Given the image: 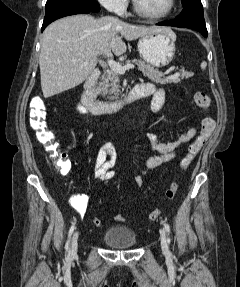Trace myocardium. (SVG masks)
Segmentation results:
<instances>
[{"label": "myocardium", "mask_w": 240, "mask_h": 287, "mask_svg": "<svg viewBox=\"0 0 240 287\" xmlns=\"http://www.w3.org/2000/svg\"><path fill=\"white\" fill-rule=\"evenodd\" d=\"M132 1H133L134 11L138 15L145 17V18H148V19H153V20H160V19H164V18L168 17L173 12V10L175 8V0H169L167 8L163 12L152 13V12L144 10L142 7H140L137 0H132Z\"/></svg>", "instance_id": "obj_1"}]
</instances>
